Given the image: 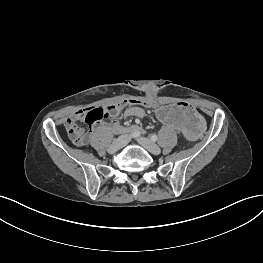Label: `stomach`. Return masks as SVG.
<instances>
[{"mask_svg": "<svg viewBox=\"0 0 263 263\" xmlns=\"http://www.w3.org/2000/svg\"><path fill=\"white\" fill-rule=\"evenodd\" d=\"M158 123L166 125L185 139L193 140L204 135L207 125L204 118L189 105L175 102L163 104L156 108L154 113Z\"/></svg>", "mask_w": 263, "mask_h": 263, "instance_id": "stomach-1", "label": "stomach"}]
</instances>
